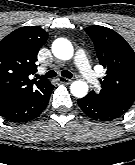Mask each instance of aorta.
Masks as SVG:
<instances>
[{
  "label": "aorta",
  "mask_w": 135,
  "mask_h": 165,
  "mask_svg": "<svg viewBox=\"0 0 135 165\" xmlns=\"http://www.w3.org/2000/svg\"><path fill=\"white\" fill-rule=\"evenodd\" d=\"M52 52L55 57L60 60H70L73 57V46L67 39H57L52 45ZM73 96L82 98L88 93V85L86 82L77 80L70 86Z\"/></svg>",
  "instance_id": "1"
}]
</instances>
